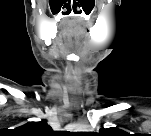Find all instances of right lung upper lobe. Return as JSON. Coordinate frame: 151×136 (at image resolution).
Masks as SVG:
<instances>
[{"label": "right lung upper lobe", "mask_w": 151, "mask_h": 136, "mask_svg": "<svg viewBox=\"0 0 151 136\" xmlns=\"http://www.w3.org/2000/svg\"><path fill=\"white\" fill-rule=\"evenodd\" d=\"M50 126L47 124L46 120L39 122H28L25 125L18 127L16 132L20 134L43 136L49 132Z\"/></svg>", "instance_id": "cb5924a9"}]
</instances>
